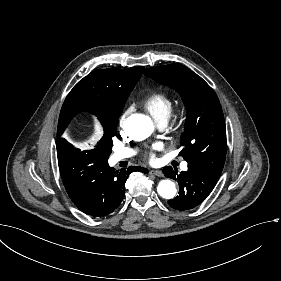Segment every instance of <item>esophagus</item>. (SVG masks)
<instances>
[{
	"label": "esophagus",
	"instance_id": "34e87169",
	"mask_svg": "<svg viewBox=\"0 0 281 281\" xmlns=\"http://www.w3.org/2000/svg\"><path fill=\"white\" fill-rule=\"evenodd\" d=\"M150 174H153L158 177H164V174L161 170H150Z\"/></svg>",
	"mask_w": 281,
	"mask_h": 281
}]
</instances>
